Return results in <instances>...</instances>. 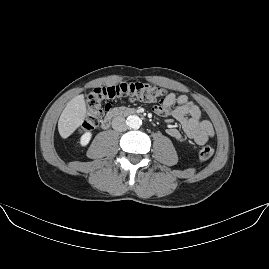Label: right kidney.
Segmentation results:
<instances>
[{"instance_id":"right-kidney-1","label":"right kidney","mask_w":269,"mask_h":269,"mask_svg":"<svg viewBox=\"0 0 269 269\" xmlns=\"http://www.w3.org/2000/svg\"><path fill=\"white\" fill-rule=\"evenodd\" d=\"M89 138H90V134L87 133V134L83 135V137L81 139V143L82 144H87L88 141H89Z\"/></svg>"}]
</instances>
